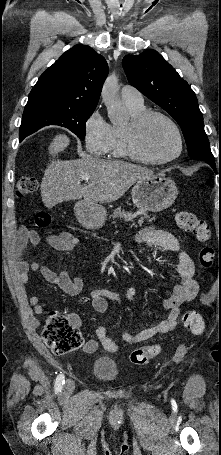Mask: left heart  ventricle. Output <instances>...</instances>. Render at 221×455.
I'll use <instances>...</instances> for the list:
<instances>
[{
    "label": "left heart ventricle",
    "instance_id": "b2bd125f",
    "mask_svg": "<svg viewBox=\"0 0 221 455\" xmlns=\"http://www.w3.org/2000/svg\"><path fill=\"white\" fill-rule=\"evenodd\" d=\"M141 142L156 158H167L178 151V141L173 129L160 118H154L146 125Z\"/></svg>",
    "mask_w": 221,
    "mask_h": 455
}]
</instances>
